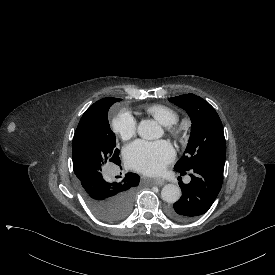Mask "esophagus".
Segmentation results:
<instances>
[{
	"instance_id": "esophagus-1",
	"label": "esophagus",
	"mask_w": 275,
	"mask_h": 275,
	"mask_svg": "<svg viewBox=\"0 0 275 275\" xmlns=\"http://www.w3.org/2000/svg\"><path fill=\"white\" fill-rule=\"evenodd\" d=\"M153 183L157 186H163L165 184V181L163 179L156 178L153 180Z\"/></svg>"
}]
</instances>
